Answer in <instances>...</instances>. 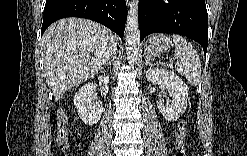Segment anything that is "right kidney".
Returning <instances> with one entry per match:
<instances>
[{
    "label": "right kidney",
    "mask_w": 247,
    "mask_h": 156,
    "mask_svg": "<svg viewBox=\"0 0 247 156\" xmlns=\"http://www.w3.org/2000/svg\"><path fill=\"white\" fill-rule=\"evenodd\" d=\"M98 83L100 86H107L109 76H99ZM94 88L95 84L93 82L85 84L76 92L73 99L80 119L87 125L96 124L100 120L103 112V104L96 100Z\"/></svg>",
    "instance_id": "obj_1"
}]
</instances>
